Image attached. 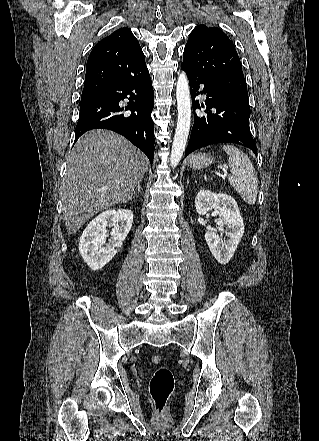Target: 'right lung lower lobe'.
Segmentation results:
<instances>
[{
	"mask_svg": "<svg viewBox=\"0 0 319 441\" xmlns=\"http://www.w3.org/2000/svg\"><path fill=\"white\" fill-rule=\"evenodd\" d=\"M128 98V107L119 102ZM154 92L148 69L113 82L81 99L75 142L92 129L117 132L141 149L152 164L154 158V124L151 118ZM130 110L131 114H124Z\"/></svg>",
	"mask_w": 319,
	"mask_h": 441,
	"instance_id": "obj_1",
	"label": "right lung lower lobe"
}]
</instances>
